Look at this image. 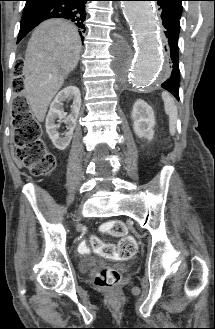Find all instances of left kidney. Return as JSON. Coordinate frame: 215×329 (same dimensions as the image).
<instances>
[{
	"label": "left kidney",
	"instance_id": "left-kidney-1",
	"mask_svg": "<svg viewBox=\"0 0 215 329\" xmlns=\"http://www.w3.org/2000/svg\"><path fill=\"white\" fill-rule=\"evenodd\" d=\"M133 130L140 138L152 140L155 117L153 109L144 100L135 101L132 110Z\"/></svg>",
	"mask_w": 215,
	"mask_h": 329
}]
</instances>
